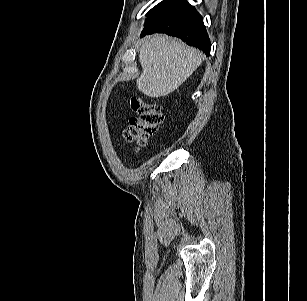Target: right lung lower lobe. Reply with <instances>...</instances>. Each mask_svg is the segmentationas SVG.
<instances>
[{"instance_id":"right-lung-lower-lobe-1","label":"right lung lower lobe","mask_w":307,"mask_h":301,"mask_svg":"<svg viewBox=\"0 0 307 301\" xmlns=\"http://www.w3.org/2000/svg\"><path fill=\"white\" fill-rule=\"evenodd\" d=\"M153 33L176 36L210 54L211 43L202 17L188 2L169 0L146 19L141 37Z\"/></svg>"}]
</instances>
